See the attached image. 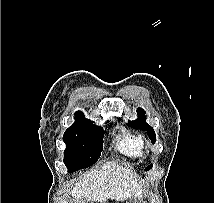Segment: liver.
<instances>
[{
	"label": "liver",
	"mask_w": 214,
	"mask_h": 203,
	"mask_svg": "<svg viewBox=\"0 0 214 203\" xmlns=\"http://www.w3.org/2000/svg\"><path fill=\"white\" fill-rule=\"evenodd\" d=\"M70 194L76 201L82 200V203L143 198L138 176L116 162H107L101 168L90 170L75 183Z\"/></svg>",
	"instance_id": "liver-1"
}]
</instances>
